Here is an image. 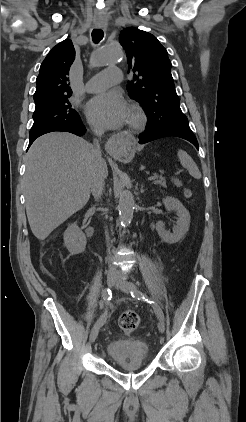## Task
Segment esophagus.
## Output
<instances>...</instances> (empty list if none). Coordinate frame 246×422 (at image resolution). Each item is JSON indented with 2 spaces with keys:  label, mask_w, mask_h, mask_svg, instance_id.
<instances>
[{
  "label": "esophagus",
  "mask_w": 246,
  "mask_h": 422,
  "mask_svg": "<svg viewBox=\"0 0 246 422\" xmlns=\"http://www.w3.org/2000/svg\"><path fill=\"white\" fill-rule=\"evenodd\" d=\"M98 28L106 29V26H97ZM122 148V140L118 135L112 136L105 144V149L110 155H116Z\"/></svg>",
  "instance_id": "esophagus-1"
}]
</instances>
